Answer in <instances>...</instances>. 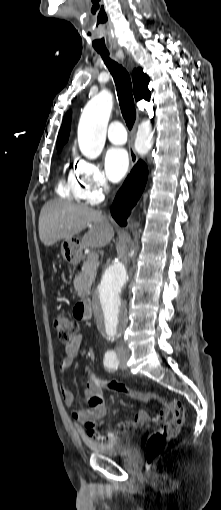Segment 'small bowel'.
<instances>
[{
    "label": "small bowel",
    "mask_w": 221,
    "mask_h": 510,
    "mask_svg": "<svg viewBox=\"0 0 221 510\" xmlns=\"http://www.w3.org/2000/svg\"><path fill=\"white\" fill-rule=\"evenodd\" d=\"M82 348V337L81 335H76L73 340L65 346L64 355L60 359L58 363V367L61 373H65L68 371L73 365L74 361L78 357ZM86 372L90 375V378L87 380L86 385L83 389L84 396L89 399L90 397H99L101 400L94 404L89 405L87 408H73L71 411L72 417L79 423L86 424L87 426V434L90 437H93L101 442H110L118 439L120 436L138 429L139 427L145 426L149 422H158L157 416L162 408L158 411L157 415L152 417L148 412L141 410L139 411L135 417L131 421H127L121 424H118L117 431H110L107 433H101L99 431V427L105 425L104 422H99L107 413V408L103 399V396L98 389L95 380L93 378V369L91 367L86 368ZM61 395L64 403L68 407H73L75 404V398L72 391L66 385V383L61 384ZM157 399H163L159 395H155ZM160 405V404H159ZM100 435L102 437L100 438Z\"/></svg>",
    "instance_id": "c3829d8e"
}]
</instances>
